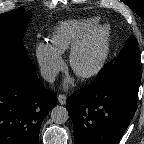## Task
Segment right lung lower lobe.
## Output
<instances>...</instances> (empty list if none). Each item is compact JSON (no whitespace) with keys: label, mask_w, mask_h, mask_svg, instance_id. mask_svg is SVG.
Instances as JSON below:
<instances>
[{"label":"right lung lower lobe","mask_w":144,"mask_h":144,"mask_svg":"<svg viewBox=\"0 0 144 144\" xmlns=\"http://www.w3.org/2000/svg\"><path fill=\"white\" fill-rule=\"evenodd\" d=\"M56 95L13 64H0V144H39V131Z\"/></svg>","instance_id":"98d812e1"}]
</instances>
